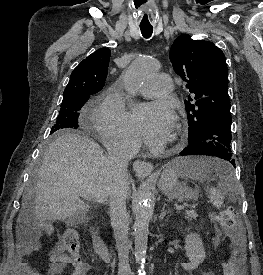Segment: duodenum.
I'll return each mask as SVG.
<instances>
[{"instance_id": "410a0bca", "label": "duodenum", "mask_w": 263, "mask_h": 275, "mask_svg": "<svg viewBox=\"0 0 263 275\" xmlns=\"http://www.w3.org/2000/svg\"><path fill=\"white\" fill-rule=\"evenodd\" d=\"M92 237H93V245H94L95 251L103 259L108 260L110 258V251H109L108 245L105 242V240L103 239L98 227H95L93 229Z\"/></svg>"}]
</instances>
